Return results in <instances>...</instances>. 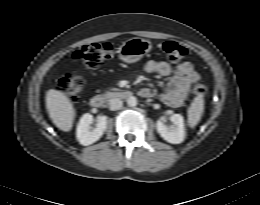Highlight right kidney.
Returning a JSON list of instances; mask_svg holds the SVG:
<instances>
[{"instance_id": "ca27d5eb", "label": "right kidney", "mask_w": 260, "mask_h": 205, "mask_svg": "<svg viewBox=\"0 0 260 205\" xmlns=\"http://www.w3.org/2000/svg\"><path fill=\"white\" fill-rule=\"evenodd\" d=\"M93 116L89 113L84 114L77 126L76 136L80 144L88 146L101 138L107 128V117L101 116L95 128H91L90 124Z\"/></svg>"}]
</instances>
